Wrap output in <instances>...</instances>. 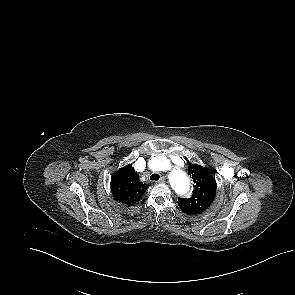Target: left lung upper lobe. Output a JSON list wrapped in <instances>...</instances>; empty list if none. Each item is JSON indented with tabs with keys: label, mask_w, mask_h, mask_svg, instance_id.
Wrapping results in <instances>:
<instances>
[{
	"label": "left lung upper lobe",
	"mask_w": 295,
	"mask_h": 295,
	"mask_svg": "<svg viewBox=\"0 0 295 295\" xmlns=\"http://www.w3.org/2000/svg\"><path fill=\"white\" fill-rule=\"evenodd\" d=\"M188 174L193 179L194 190L190 198H178V205L187 214H199L205 211L214 200L215 178L199 165H190Z\"/></svg>",
	"instance_id": "left-lung-upper-lobe-1"
}]
</instances>
